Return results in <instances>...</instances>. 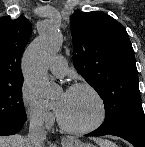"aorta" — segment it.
Listing matches in <instances>:
<instances>
[{"label": "aorta", "mask_w": 145, "mask_h": 147, "mask_svg": "<svg viewBox=\"0 0 145 147\" xmlns=\"http://www.w3.org/2000/svg\"><path fill=\"white\" fill-rule=\"evenodd\" d=\"M61 42L62 34L59 28L54 26L33 41L24 53V75L36 88L40 99H50L54 94L55 86L48 79L47 69Z\"/></svg>", "instance_id": "762f6f07"}]
</instances>
